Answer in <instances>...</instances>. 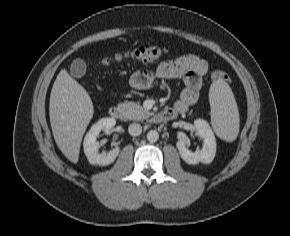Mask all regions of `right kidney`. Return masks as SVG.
Wrapping results in <instances>:
<instances>
[{
  "label": "right kidney",
  "instance_id": "right-kidney-1",
  "mask_svg": "<svg viewBox=\"0 0 290 236\" xmlns=\"http://www.w3.org/2000/svg\"><path fill=\"white\" fill-rule=\"evenodd\" d=\"M115 124L116 120L114 118H102L91 126L83 142L84 153L90 164L106 166L113 163L119 155V147H115L107 154L98 152L97 136L102 130L109 132Z\"/></svg>",
  "mask_w": 290,
  "mask_h": 236
}]
</instances>
